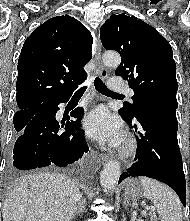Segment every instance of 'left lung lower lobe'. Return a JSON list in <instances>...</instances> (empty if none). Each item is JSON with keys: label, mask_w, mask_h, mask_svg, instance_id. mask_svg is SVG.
Returning a JSON list of instances; mask_svg holds the SVG:
<instances>
[{"label": "left lung lower lobe", "mask_w": 190, "mask_h": 221, "mask_svg": "<svg viewBox=\"0 0 190 221\" xmlns=\"http://www.w3.org/2000/svg\"><path fill=\"white\" fill-rule=\"evenodd\" d=\"M176 109L162 105H147L135 112L139 127L132 119L125 120L138 132V151L131 168L119 179L146 176L170 186L186 205V182L178 146Z\"/></svg>", "instance_id": "0a47b994"}]
</instances>
